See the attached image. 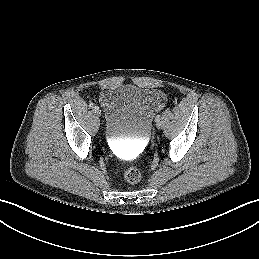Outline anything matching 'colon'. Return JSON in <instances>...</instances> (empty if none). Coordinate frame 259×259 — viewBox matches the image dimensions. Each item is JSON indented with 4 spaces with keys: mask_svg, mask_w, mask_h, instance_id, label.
Listing matches in <instances>:
<instances>
[{
    "mask_svg": "<svg viewBox=\"0 0 259 259\" xmlns=\"http://www.w3.org/2000/svg\"><path fill=\"white\" fill-rule=\"evenodd\" d=\"M124 178L129 184L135 185L141 180V172L135 167H130L125 171Z\"/></svg>",
    "mask_w": 259,
    "mask_h": 259,
    "instance_id": "5ec220e1",
    "label": "colon"
}]
</instances>
